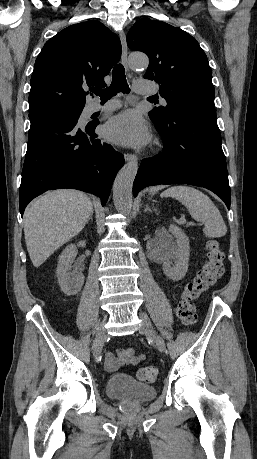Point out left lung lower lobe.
Segmentation results:
<instances>
[{
	"instance_id": "obj_1",
	"label": "left lung lower lobe",
	"mask_w": 257,
	"mask_h": 459,
	"mask_svg": "<svg viewBox=\"0 0 257 459\" xmlns=\"http://www.w3.org/2000/svg\"><path fill=\"white\" fill-rule=\"evenodd\" d=\"M162 136L163 152L142 160L133 194L150 185L191 184L207 188L230 207L226 159L212 106L185 107L164 121L151 119Z\"/></svg>"
}]
</instances>
